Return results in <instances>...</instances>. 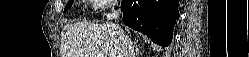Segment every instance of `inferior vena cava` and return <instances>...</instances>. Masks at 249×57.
<instances>
[{
  "mask_svg": "<svg viewBox=\"0 0 249 57\" xmlns=\"http://www.w3.org/2000/svg\"><path fill=\"white\" fill-rule=\"evenodd\" d=\"M120 16H121L120 12L112 11L109 13L110 20L116 21L120 18ZM111 25H115V24H111ZM117 34H118V40L120 43V47L122 50L121 57H135V49L130 38L122 30H118Z\"/></svg>",
  "mask_w": 249,
  "mask_h": 57,
  "instance_id": "inferior-vena-cava-1",
  "label": "inferior vena cava"
}]
</instances>
